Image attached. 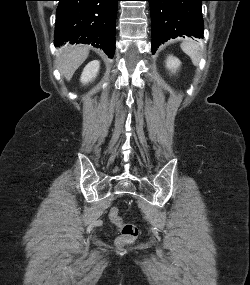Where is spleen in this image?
<instances>
[{
  "instance_id": "1",
  "label": "spleen",
  "mask_w": 250,
  "mask_h": 285,
  "mask_svg": "<svg viewBox=\"0 0 250 285\" xmlns=\"http://www.w3.org/2000/svg\"><path fill=\"white\" fill-rule=\"evenodd\" d=\"M181 49L191 58L192 63L198 66L202 58V44L199 41L186 39L181 43Z\"/></svg>"
}]
</instances>
